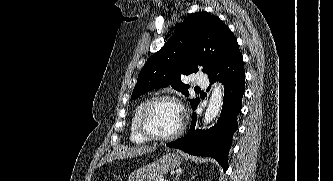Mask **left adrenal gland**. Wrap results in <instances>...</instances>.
Wrapping results in <instances>:
<instances>
[{
  "instance_id": "left-adrenal-gland-1",
  "label": "left adrenal gland",
  "mask_w": 333,
  "mask_h": 181,
  "mask_svg": "<svg viewBox=\"0 0 333 181\" xmlns=\"http://www.w3.org/2000/svg\"><path fill=\"white\" fill-rule=\"evenodd\" d=\"M182 173H179L175 176V178L173 179V181H179L180 180V176Z\"/></svg>"
}]
</instances>
